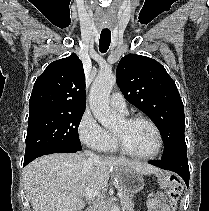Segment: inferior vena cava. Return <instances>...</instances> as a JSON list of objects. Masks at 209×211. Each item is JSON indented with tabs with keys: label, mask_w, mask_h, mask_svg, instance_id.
Instances as JSON below:
<instances>
[{
	"label": "inferior vena cava",
	"mask_w": 209,
	"mask_h": 211,
	"mask_svg": "<svg viewBox=\"0 0 209 211\" xmlns=\"http://www.w3.org/2000/svg\"><path fill=\"white\" fill-rule=\"evenodd\" d=\"M84 155L90 160V161H94V160H97L99 159V157L94 154L93 152L91 151H84Z\"/></svg>",
	"instance_id": "1"
}]
</instances>
